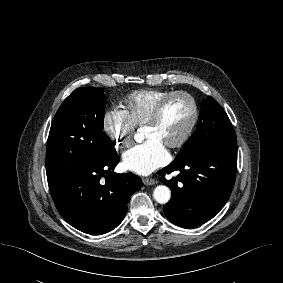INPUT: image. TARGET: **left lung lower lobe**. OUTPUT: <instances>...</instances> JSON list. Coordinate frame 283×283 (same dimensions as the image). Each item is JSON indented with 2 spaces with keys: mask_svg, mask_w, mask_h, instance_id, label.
<instances>
[{
  "mask_svg": "<svg viewBox=\"0 0 283 283\" xmlns=\"http://www.w3.org/2000/svg\"><path fill=\"white\" fill-rule=\"evenodd\" d=\"M237 145L206 148L174 160L158 172L172 197L165 216L180 227H194L213 218L226 204L235 183ZM179 171L171 180L165 174Z\"/></svg>",
  "mask_w": 283,
  "mask_h": 283,
  "instance_id": "obj_1",
  "label": "left lung lower lobe"
}]
</instances>
